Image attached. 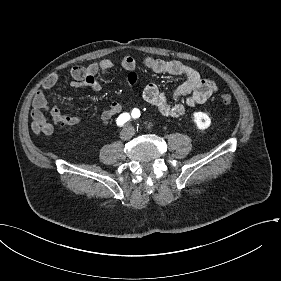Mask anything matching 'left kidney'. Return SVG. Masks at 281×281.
Returning <instances> with one entry per match:
<instances>
[{
    "mask_svg": "<svg viewBox=\"0 0 281 281\" xmlns=\"http://www.w3.org/2000/svg\"><path fill=\"white\" fill-rule=\"evenodd\" d=\"M194 122L196 123L198 129L204 130L210 126L211 120L207 114L203 112L194 113Z\"/></svg>",
    "mask_w": 281,
    "mask_h": 281,
    "instance_id": "1",
    "label": "left kidney"
}]
</instances>
